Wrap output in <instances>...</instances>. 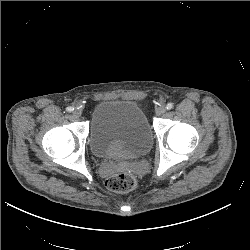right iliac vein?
Returning a JSON list of instances; mask_svg holds the SVG:
<instances>
[{
    "instance_id": "obj_1",
    "label": "right iliac vein",
    "mask_w": 250,
    "mask_h": 250,
    "mask_svg": "<svg viewBox=\"0 0 250 250\" xmlns=\"http://www.w3.org/2000/svg\"><path fill=\"white\" fill-rule=\"evenodd\" d=\"M72 114L75 118H79L82 115V111L80 109H75Z\"/></svg>"
}]
</instances>
